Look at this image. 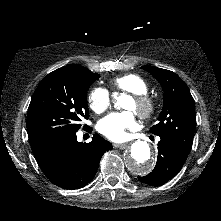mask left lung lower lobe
<instances>
[{
  "label": "left lung lower lobe",
  "mask_w": 221,
  "mask_h": 221,
  "mask_svg": "<svg viewBox=\"0 0 221 221\" xmlns=\"http://www.w3.org/2000/svg\"><path fill=\"white\" fill-rule=\"evenodd\" d=\"M158 157L154 170L139 180L148 185H160L169 181L183 167L188 154L177 147L171 140L160 137Z\"/></svg>",
  "instance_id": "left-lung-lower-lobe-1"
}]
</instances>
